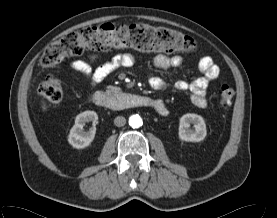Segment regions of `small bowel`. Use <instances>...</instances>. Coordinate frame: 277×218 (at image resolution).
Segmentation results:
<instances>
[{
    "mask_svg": "<svg viewBox=\"0 0 277 218\" xmlns=\"http://www.w3.org/2000/svg\"><path fill=\"white\" fill-rule=\"evenodd\" d=\"M98 59L96 55H92L88 60L76 59L69 63V68L89 81L91 85H97L106 79L112 72L119 67H132L135 58L130 53L117 54L111 60L102 63L96 67L93 62ZM183 64L181 55L166 56L163 54L156 55L154 65L161 69L177 68ZM198 68L202 76L192 82L178 80L174 83V88L179 91L190 93L192 103L200 108H204L208 104L207 88L209 84L220 76V68L214 63L211 57L204 56L199 60ZM150 86L155 90H161L166 87V83L159 77H151ZM162 105L158 108L160 114L165 113L166 105L162 100Z\"/></svg>",
    "mask_w": 277,
    "mask_h": 218,
    "instance_id": "obj_1",
    "label": "small bowel"
}]
</instances>
